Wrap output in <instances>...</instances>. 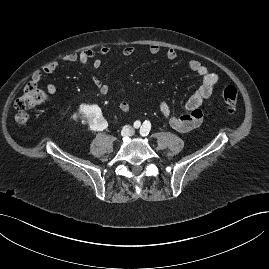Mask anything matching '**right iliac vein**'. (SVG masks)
<instances>
[{
  "label": "right iliac vein",
  "instance_id": "obj_1",
  "mask_svg": "<svg viewBox=\"0 0 269 269\" xmlns=\"http://www.w3.org/2000/svg\"><path fill=\"white\" fill-rule=\"evenodd\" d=\"M130 127H128V126H125L123 129H122V131H121V135L123 136V137H126V136H128L129 134H130Z\"/></svg>",
  "mask_w": 269,
  "mask_h": 269
}]
</instances>
